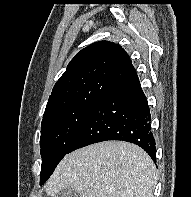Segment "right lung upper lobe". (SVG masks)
I'll use <instances>...</instances> for the list:
<instances>
[{"label":"right lung upper lobe","mask_w":191,"mask_h":197,"mask_svg":"<svg viewBox=\"0 0 191 197\" xmlns=\"http://www.w3.org/2000/svg\"><path fill=\"white\" fill-rule=\"evenodd\" d=\"M135 76L130 57L120 45L95 42L71 60L52 90L43 118L74 106L97 103L111 88Z\"/></svg>","instance_id":"right-lung-upper-lobe-1"}]
</instances>
